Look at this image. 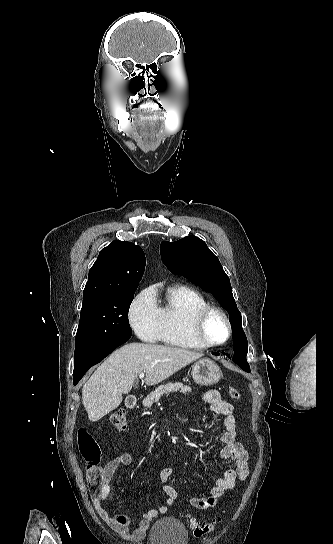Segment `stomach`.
I'll use <instances>...</instances> for the list:
<instances>
[{
    "label": "stomach",
    "instance_id": "obj_1",
    "mask_svg": "<svg viewBox=\"0 0 333 544\" xmlns=\"http://www.w3.org/2000/svg\"><path fill=\"white\" fill-rule=\"evenodd\" d=\"M192 377L197 384L210 386L221 379L222 372L214 361L204 358L193 365Z\"/></svg>",
    "mask_w": 333,
    "mask_h": 544
}]
</instances>
